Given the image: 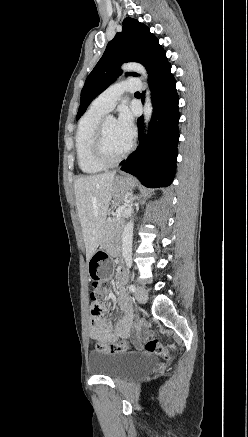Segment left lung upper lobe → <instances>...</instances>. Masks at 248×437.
<instances>
[{
	"label": "left lung upper lobe",
	"instance_id": "left-lung-upper-lobe-1",
	"mask_svg": "<svg viewBox=\"0 0 248 437\" xmlns=\"http://www.w3.org/2000/svg\"><path fill=\"white\" fill-rule=\"evenodd\" d=\"M129 61L143 64L149 79L168 64L158 39L147 26L132 18L124 19L122 32L117 33L109 42L103 56L88 75L81 92L77 119L83 115L90 102L121 75L120 65Z\"/></svg>",
	"mask_w": 248,
	"mask_h": 437
}]
</instances>
